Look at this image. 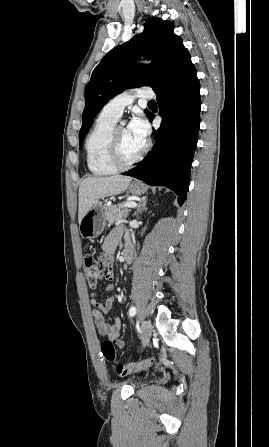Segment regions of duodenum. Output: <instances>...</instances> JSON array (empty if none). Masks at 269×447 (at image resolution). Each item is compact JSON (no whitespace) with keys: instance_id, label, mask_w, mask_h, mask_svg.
I'll return each instance as SVG.
<instances>
[{"instance_id":"1","label":"duodenum","mask_w":269,"mask_h":447,"mask_svg":"<svg viewBox=\"0 0 269 447\" xmlns=\"http://www.w3.org/2000/svg\"><path fill=\"white\" fill-rule=\"evenodd\" d=\"M123 260L125 264H130L133 261V251L132 249H124L123 251Z\"/></svg>"}]
</instances>
